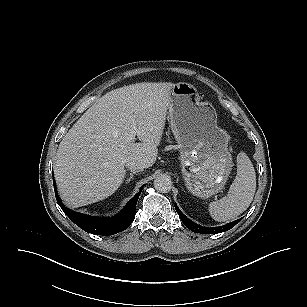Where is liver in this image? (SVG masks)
<instances>
[{
    "label": "liver",
    "instance_id": "liver-1",
    "mask_svg": "<svg viewBox=\"0 0 307 307\" xmlns=\"http://www.w3.org/2000/svg\"><path fill=\"white\" fill-rule=\"evenodd\" d=\"M173 83H136L99 98L63 137L54 175L61 199L77 208L111 196L122 184L127 160L145 168L157 159ZM141 141L128 142L132 128Z\"/></svg>",
    "mask_w": 307,
    "mask_h": 307
}]
</instances>
